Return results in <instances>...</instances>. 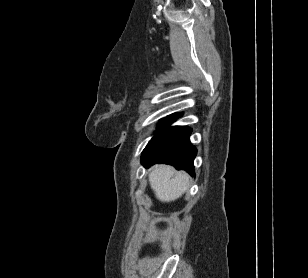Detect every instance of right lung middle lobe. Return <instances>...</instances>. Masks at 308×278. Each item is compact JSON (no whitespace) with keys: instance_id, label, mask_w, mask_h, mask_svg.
<instances>
[{"instance_id":"right-lung-middle-lobe-1","label":"right lung middle lobe","mask_w":308,"mask_h":278,"mask_svg":"<svg viewBox=\"0 0 308 278\" xmlns=\"http://www.w3.org/2000/svg\"><path fill=\"white\" fill-rule=\"evenodd\" d=\"M174 118H177L175 116H169L167 118H163L160 123H159V130L158 132H156L155 136L157 134H159L161 131H163L165 129L166 126H168L169 124H171L174 121Z\"/></svg>"}]
</instances>
